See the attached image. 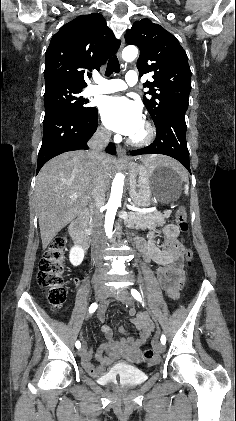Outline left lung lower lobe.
Returning a JSON list of instances; mask_svg holds the SVG:
<instances>
[{
  "label": "left lung lower lobe",
  "instance_id": "0a47b994",
  "mask_svg": "<svg viewBox=\"0 0 236 421\" xmlns=\"http://www.w3.org/2000/svg\"><path fill=\"white\" fill-rule=\"evenodd\" d=\"M186 110L173 108L155 123L157 135L155 141L142 149L133 150L130 155L163 154L181 162L190 171L189 151L186 144Z\"/></svg>",
  "mask_w": 236,
  "mask_h": 421
}]
</instances>
